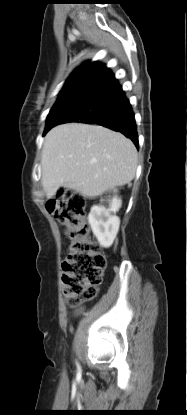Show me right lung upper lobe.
Masks as SVG:
<instances>
[{
    "mask_svg": "<svg viewBox=\"0 0 187 415\" xmlns=\"http://www.w3.org/2000/svg\"><path fill=\"white\" fill-rule=\"evenodd\" d=\"M104 65L95 61H86L83 64H81L79 67H77L72 74L67 79L66 83L64 84L59 98L57 102L61 101L62 99L66 98L68 96V93L73 89V87L76 85V83L86 77L87 75L91 74L92 72L98 70L99 68L103 67ZM61 104H58L57 107L54 109L56 110ZM53 110V111H54Z\"/></svg>",
    "mask_w": 187,
    "mask_h": 415,
    "instance_id": "cb5924a9",
    "label": "right lung upper lobe"
}]
</instances>
